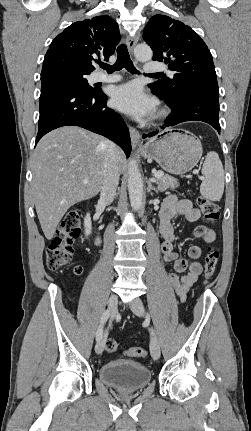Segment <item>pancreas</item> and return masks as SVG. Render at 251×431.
<instances>
[{"instance_id": "cf45deb5", "label": "pancreas", "mask_w": 251, "mask_h": 431, "mask_svg": "<svg viewBox=\"0 0 251 431\" xmlns=\"http://www.w3.org/2000/svg\"><path fill=\"white\" fill-rule=\"evenodd\" d=\"M156 184L159 191H166L167 189H175L179 186V182L174 177L163 174L160 178L156 179Z\"/></svg>"}]
</instances>
